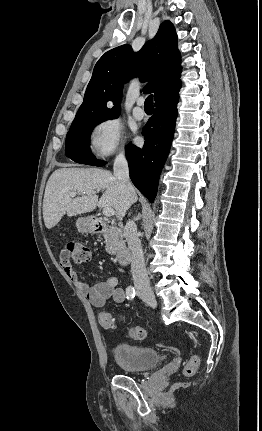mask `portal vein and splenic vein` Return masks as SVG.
<instances>
[{
  "mask_svg": "<svg viewBox=\"0 0 262 431\" xmlns=\"http://www.w3.org/2000/svg\"><path fill=\"white\" fill-rule=\"evenodd\" d=\"M86 193L87 194H95L96 192L95 191H89V192H86ZM70 195L72 197H75L76 196V192H70ZM103 214L106 217H111V216H114L115 211H114V209L112 207H106V208L103 209Z\"/></svg>",
  "mask_w": 262,
  "mask_h": 431,
  "instance_id": "18ae733b",
  "label": "portal vein and splenic vein"
}]
</instances>
